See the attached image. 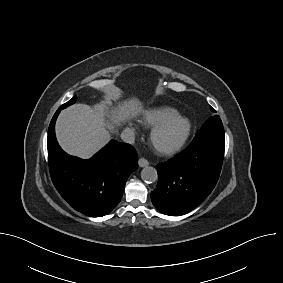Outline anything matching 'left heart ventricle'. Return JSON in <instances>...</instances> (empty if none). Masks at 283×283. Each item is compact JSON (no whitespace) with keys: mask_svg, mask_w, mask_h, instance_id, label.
Segmentation results:
<instances>
[{"mask_svg":"<svg viewBox=\"0 0 283 283\" xmlns=\"http://www.w3.org/2000/svg\"><path fill=\"white\" fill-rule=\"evenodd\" d=\"M184 129L182 122L176 121L164 128L155 138L158 147H166L176 142Z\"/></svg>","mask_w":283,"mask_h":283,"instance_id":"left-heart-ventricle-1","label":"left heart ventricle"}]
</instances>
